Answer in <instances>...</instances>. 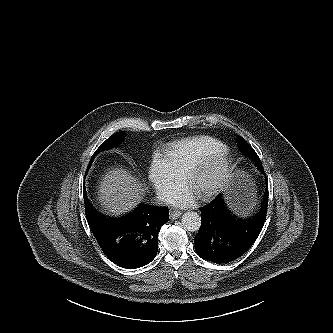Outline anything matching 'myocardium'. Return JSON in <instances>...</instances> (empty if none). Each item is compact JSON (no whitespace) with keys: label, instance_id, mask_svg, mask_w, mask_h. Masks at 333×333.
<instances>
[{"label":"myocardium","instance_id":"obj_1","mask_svg":"<svg viewBox=\"0 0 333 333\" xmlns=\"http://www.w3.org/2000/svg\"><path fill=\"white\" fill-rule=\"evenodd\" d=\"M211 168H216L218 175L211 187L197 194L202 200H207L218 195L230 181L233 172V163L228 148L225 147L215 151L197 161L184 175L185 185L190 187L196 177Z\"/></svg>","mask_w":333,"mask_h":333}]
</instances>
